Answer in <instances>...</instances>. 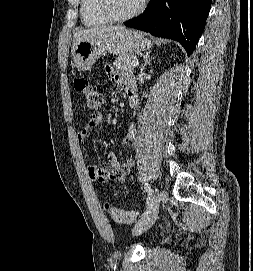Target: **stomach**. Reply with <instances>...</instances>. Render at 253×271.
<instances>
[{
	"label": "stomach",
	"mask_w": 253,
	"mask_h": 271,
	"mask_svg": "<svg viewBox=\"0 0 253 271\" xmlns=\"http://www.w3.org/2000/svg\"><path fill=\"white\" fill-rule=\"evenodd\" d=\"M150 47L151 43L143 33L123 29L95 33L79 39L73 45L71 58L78 70L88 71L106 53L125 55L145 51Z\"/></svg>",
	"instance_id": "stomach-1"
}]
</instances>
